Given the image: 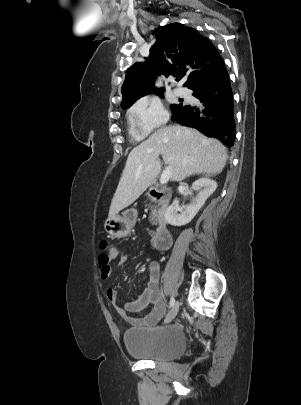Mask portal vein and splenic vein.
<instances>
[{"mask_svg": "<svg viewBox=\"0 0 301 405\" xmlns=\"http://www.w3.org/2000/svg\"><path fill=\"white\" fill-rule=\"evenodd\" d=\"M170 175H171V170L169 167H167L161 174L160 183L166 184L169 181Z\"/></svg>", "mask_w": 301, "mask_h": 405, "instance_id": "18ae733b", "label": "portal vein and splenic vein"}]
</instances>
